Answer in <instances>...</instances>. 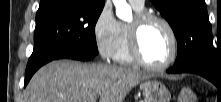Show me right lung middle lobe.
<instances>
[{"mask_svg": "<svg viewBox=\"0 0 221 102\" xmlns=\"http://www.w3.org/2000/svg\"><path fill=\"white\" fill-rule=\"evenodd\" d=\"M103 7L83 0L55 1L39 7L34 49L27 68L64 49H82L97 55L95 25Z\"/></svg>", "mask_w": 221, "mask_h": 102, "instance_id": "dd1d6c3e", "label": "right lung middle lobe"}]
</instances>
